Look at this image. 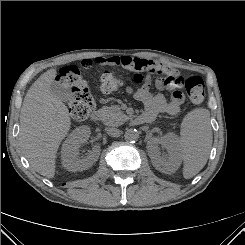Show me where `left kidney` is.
<instances>
[{"mask_svg":"<svg viewBox=\"0 0 245 245\" xmlns=\"http://www.w3.org/2000/svg\"><path fill=\"white\" fill-rule=\"evenodd\" d=\"M159 145L167 153H161ZM147 151L154 167L161 172L173 173L181 164L180 142L174 133L152 137L147 143Z\"/></svg>","mask_w":245,"mask_h":245,"instance_id":"5707ae66","label":"left kidney"}]
</instances>
